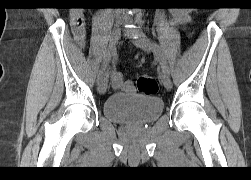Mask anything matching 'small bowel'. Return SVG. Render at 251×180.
Masks as SVG:
<instances>
[{"mask_svg":"<svg viewBox=\"0 0 251 180\" xmlns=\"http://www.w3.org/2000/svg\"><path fill=\"white\" fill-rule=\"evenodd\" d=\"M173 18L185 26L190 21V13L183 9H175L172 11ZM70 23L73 29L74 40L80 48L85 46V32L86 22L84 13L80 10H74L70 13ZM113 88L119 91L128 93L134 92V86L132 83L125 81L123 77L118 73L112 75Z\"/></svg>","mask_w":251,"mask_h":180,"instance_id":"small-bowel-1","label":"small bowel"}]
</instances>
